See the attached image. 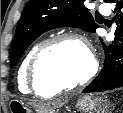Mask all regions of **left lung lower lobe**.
Listing matches in <instances>:
<instances>
[{
    "mask_svg": "<svg viewBox=\"0 0 123 113\" xmlns=\"http://www.w3.org/2000/svg\"><path fill=\"white\" fill-rule=\"evenodd\" d=\"M115 3L114 19L117 20L114 44L105 49L104 66L99 75L83 90V93L100 92L123 86V0Z\"/></svg>",
    "mask_w": 123,
    "mask_h": 113,
    "instance_id": "left-lung-lower-lobe-1",
    "label": "left lung lower lobe"
}]
</instances>
